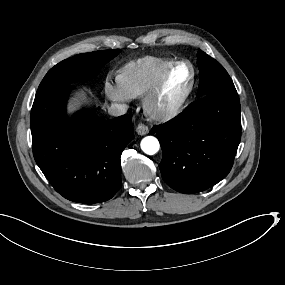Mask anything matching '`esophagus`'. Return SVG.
<instances>
[{"mask_svg":"<svg viewBox=\"0 0 285 285\" xmlns=\"http://www.w3.org/2000/svg\"><path fill=\"white\" fill-rule=\"evenodd\" d=\"M136 132L138 135H146L149 133V129L146 125L140 123L137 125Z\"/></svg>","mask_w":285,"mask_h":285,"instance_id":"1","label":"esophagus"}]
</instances>
